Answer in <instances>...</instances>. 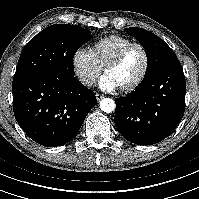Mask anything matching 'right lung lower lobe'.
<instances>
[{"label": "right lung lower lobe", "mask_w": 199, "mask_h": 199, "mask_svg": "<svg viewBox=\"0 0 199 199\" xmlns=\"http://www.w3.org/2000/svg\"><path fill=\"white\" fill-rule=\"evenodd\" d=\"M12 90L18 124L28 137L46 147L71 141L97 104L94 92L76 77L57 73L13 79Z\"/></svg>", "instance_id": "1"}]
</instances>
